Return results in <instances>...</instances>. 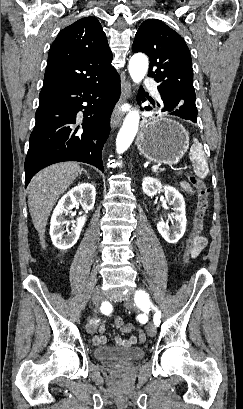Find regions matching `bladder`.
Listing matches in <instances>:
<instances>
[{"mask_svg": "<svg viewBox=\"0 0 243 409\" xmlns=\"http://www.w3.org/2000/svg\"><path fill=\"white\" fill-rule=\"evenodd\" d=\"M144 354V350L140 347L115 348L101 346L94 350V357L99 361L133 362L142 359Z\"/></svg>", "mask_w": 243, "mask_h": 409, "instance_id": "31cf9c89", "label": "bladder"}]
</instances>
